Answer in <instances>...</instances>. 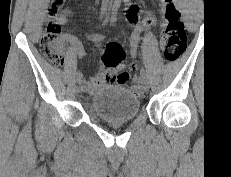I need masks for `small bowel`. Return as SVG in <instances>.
Returning <instances> with one entry per match:
<instances>
[{
    "instance_id": "c3829d8e",
    "label": "small bowel",
    "mask_w": 231,
    "mask_h": 177,
    "mask_svg": "<svg viewBox=\"0 0 231 177\" xmlns=\"http://www.w3.org/2000/svg\"><path fill=\"white\" fill-rule=\"evenodd\" d=\"M69 1L70 0H58V2L56 3V12L53 15V17L56 18L59 24H66L68 22L67 14L69 13V9L68 7L63 8V5L66 2H68L69 4ZM159 1L161 3H164V0H159ZM124 2L126 3V7H127L126 18L136 28V30L140 31L156 23V18L152 15L142 18L139 15L138 5L132 3L130 0H124ZM64 39L69 42L76 55L80 57L84 56L85 52L83 50V47L75 37L71 35H66ZM137 42H138L137 37H135L131 42L132 53L135 52V49L137 47ZM160 46L161 47L165 46V42L163 41V39H161L160 41ZM128 78H129V72L124 64L108 66L106 70H103L101 73L93 77L88 82L87 90L88 92L93 93L97 88L103 85L114 84V83L122 85L127 82Z\"/></svg>"
}]
</instances>
